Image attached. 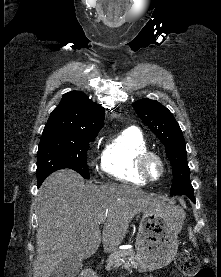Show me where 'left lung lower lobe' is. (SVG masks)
<instances>
[{"label": "left lung lower lobe", "mask_w": 221, "mask_h": 277, "mask_svg": "<svg viewBox=\"0 0 221 277\" xmlns=\"http://www.w3.org/2000/svg\"><path fill=\"white\" fill-rule=\"evenodd\" d=\"M186 196H188L192 201H195L194 193H193V192H192V193H189V194L186 195Z\"/></svg>", "instance_id": "obj_1"}]
</instances>
